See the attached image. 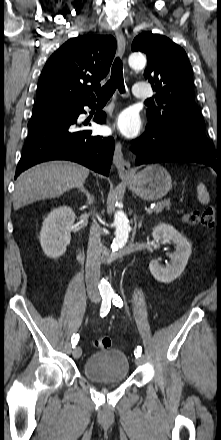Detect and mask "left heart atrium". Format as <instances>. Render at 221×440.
I'll use <instances>...</instances> for the list:
<instances>
[{
	"mask_svg": "<svg viewBox=\"0 0 221 440\" xmlns=\"http://www.w3.org/2000/svg\"><path fill=\"white\" fill-rule=\"evenodd\" d=\"M116 127L125 136L132 137L138 134L140 121L137 114L127 110L118 117Z\"/></svg>",
	"mask_w": 221,
	"mask_h": 440,
	"instance_id": "1",
	"label": "left heart atrium"
}]
</instances>
